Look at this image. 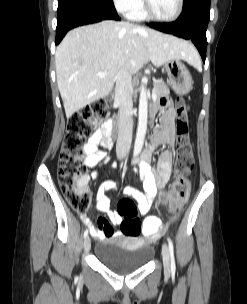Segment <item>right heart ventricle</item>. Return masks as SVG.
I'll return each mask as SVG.
<instances>
[{
  "mask_svg": "<svg viewBox=\"0 0 247 304\" xmlns=\"http://www.w3.org/2000/svg\"><path fill=\"white\" fill-rule=\"evenodd\" d=\"M128 17L132 20H136V21H141L144 20L146 18L144 10H143V6L140 5L139 7L133 9L132 11H130L128 13Z\"/></svg>",
  "mask_w": 247,
  "mask_h": 304,
  "instance_id": "right-heart-ventricle-1",
  "label": "right heart ventricle"
}]
</instances>
